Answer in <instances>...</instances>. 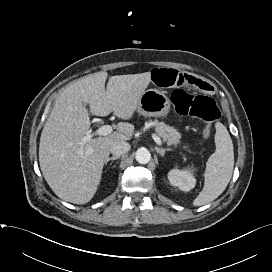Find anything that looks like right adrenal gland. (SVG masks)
<instances>
[{"instance_id":"right-adrenal-gland-1","label":"right adrenal gland","mask_w":272,"mask_h":272,"mask_svg":"<svg viewBox=\"0 0 272 272\" xmlns=\"http://www.w3.org/2000/svg\"><path fill=\"white\" fill-rule=\"evenodd\" d=\"M119 158L120 156H112L106 160L105 164L107 165L109 161H115L116 159H119Z\"/></svg>"}]
</instances>
